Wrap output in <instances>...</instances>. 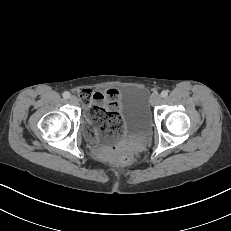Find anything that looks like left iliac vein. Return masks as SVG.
<instances>
[{
  "label": "left iliac vein",
  "instance_id": "left-iliac-vein-1",
  "mask_svg": "<svg viewBox=\"0 0 231 231\" xmlns=\"http://www.w3.org/2000/svg\"><path fill=\"white\" fill-rule=\"evenodd\" d=\"M161 100H162V98L159 94H154L151 97V105L156 106V105L161 103Z\"/></svg>",
  "mask_w": 231,
  "mask_h": 231
}]
</instances>
